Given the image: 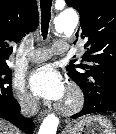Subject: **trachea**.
Masks as SVG:
<instances>
[{
	"mask_svg": "<svg viewBox=\"0 0 116 134\" xmlns=\"http://www.w3.org/2000/svg\"><path fill=\"white\" fill-rule=\"evenodd\" d=\"M51 6H52V0H40L41 32L44 39L47 37L49 23L51 20Z\"/></svg>",
	"mask_w": 116,
	"mask_h": 134,
	"instance_id": "trachea-1",
	"label": "trachea"
}]
</instances>
